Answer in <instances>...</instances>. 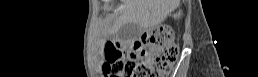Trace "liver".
Segmentation results:
<instances>
[{
    "instance_id": "liver-1",
    "label": "liver",
    "mask_w": 258,
    "mask_h": 77,
    "mask_svg": "<svg viewBox=\"0 0 258 77\" xmlns=\"http://www.w3.org/2000/svg\"><path fill=\"white\" fill-rule=\"evenodd\" d=\"M121 23H135L143 28H150L164 21L178 0H122ZM181 11L175 15L180 17Z\"/></svg>"
}]
</instances>
